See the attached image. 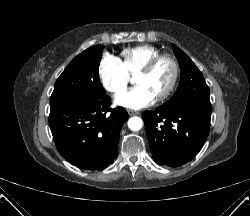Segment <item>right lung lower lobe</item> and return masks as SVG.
I'll return each instance as SVG.
<instances>
[{
  "instance_id": "right-lung-lower-lobe-1",
  "label": "right lung lower lobe",
  "mask_w": 250,
  "mask_h": 216,
  "mask_svg": "<svg viewBox=\"0 0 250 216\" xmlns=\"http://www.w3.org/2000/svg\"><path fill=\"white\" fill-rule=\"evenodd\" d=\"M111 98H75L50 110L49 125L59 153L74 166L103 170L117 156L120 130L128 119Z\"/></svg>"
}]
</instances>
